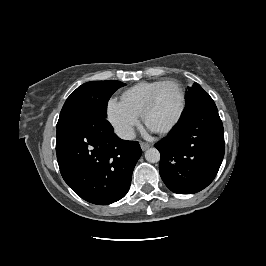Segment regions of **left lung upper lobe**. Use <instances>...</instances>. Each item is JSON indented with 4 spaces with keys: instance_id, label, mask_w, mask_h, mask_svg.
<instances>
[{
    "instance_id": "left-lung-upper-lobe-1",
    "label": "left lung upper lobe",
    "mask_w": 266,
    "mask_h": 266,
    "mask_svg": "<svg viewBox=\"0 0 266 266\" xmlns=\"http://www.w3.org/2000/svg\"><path fill=\"white\" fill-rule=\"evenodd\" d=\"M208 93L206 91L203 90V88L196 83L194 86L189 87L188 91H187V95H186V103L187 105H189L190 103H192L193 101H195L196 99L207 95Z\"/></svg>"
}]
</instances>
